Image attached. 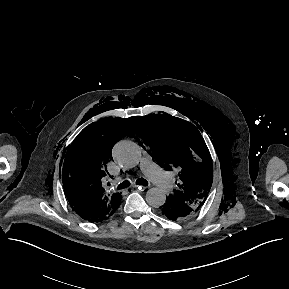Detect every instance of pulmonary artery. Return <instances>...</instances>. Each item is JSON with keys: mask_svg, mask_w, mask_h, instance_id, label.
<instances>
[{"mask_svg": "<svg viewBox=\"0 0 289 289\" xmlns=\"http://www.w3.org/2000/svg\"><path fill=\"white\" fill-rule=\"evenodd\" d=\"M140 169L160 189L167 191L173 187L172 180L167 173L156 165L148 154H145L142 157L140 161Z\"/></svg>", "mask_w": 289, "mask_h": 289, "instance_id": "1", "label": "pulmonary artery"}]
</instances>
